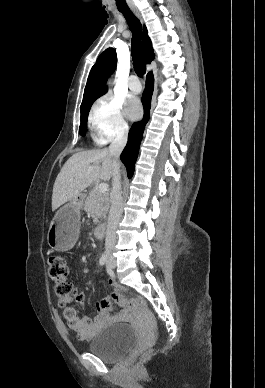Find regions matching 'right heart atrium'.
<instances>
[{
    "label": "right heart atrium",
    "instance_id": "1",
    "mask_svg": "<svg viewBox=\"0 0 265 388\" xmlns=\"http://www.w3.org/2000/svg\"><path fill=\"white\" fill-rule=\"evenodd\" d=\"M92 121L100 140L106 141L119 132H126L123 103L112 95L98 99L92 109Z\"/></svg>",
    "mask_w": 265,
    "mask_h": 388
}]
</instances>
